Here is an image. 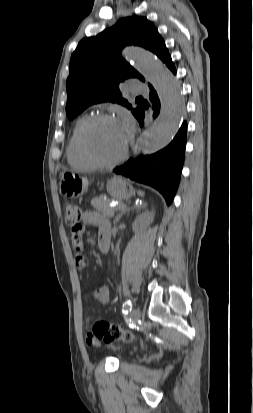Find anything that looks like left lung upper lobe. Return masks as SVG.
I'll use <instances>...</instances> for the list:
<instances>
[{
	"label": "left lung upper lobe",
	"mask_w": 253,
	"mask_h": 413,
	"mask_svg": "<svg viewBox=\"0 0 253 413\" xmlns=\"http://www.w3.org/2000/svg\"><path fill=\"white\" fill-rule=\"evenodd\" d=\"M126 45L142 46L164 63L170 57L163 38L146 17L122 18L98 35L82 39L71 56L66 82L69 119L89 105L103 101L117 102L131 109L122 97L119 84L128 78L145 79L122 58L120 51ZM141 110L139 106L131 109L135 117Z\"/></svg>",
	"instance_id": "5c2ea615"
}]
</instances>
